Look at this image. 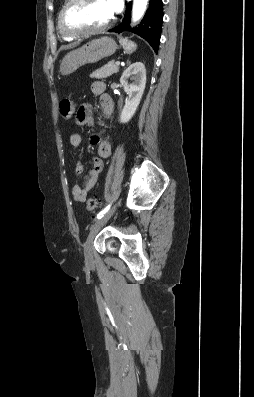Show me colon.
Segmentation results:
<instances>
[{
  "label": "colon",
  "mask_w": 254,
  "mask_h": 397,
  "mask_svg": "<svg viewBox=\"0 0 254 397\" xmlns=\"http://www.w3.org/2000/svg\"><path fill=\"white\" fill-rule=\"evenodd\" d=\"M76 109V103L70 99H63L60 103L61 115L64 119L72 117ZM99 200L96 197H91L87 200L86 207L89 211H94L99 206Z\"/></svg>",
  "instance_id": "colon-1"
}]
</instances>
